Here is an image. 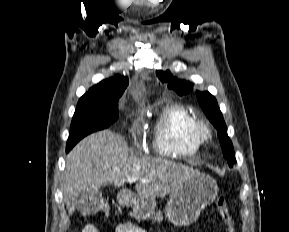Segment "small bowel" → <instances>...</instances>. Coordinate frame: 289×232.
Here are the masks:
<instances>
[{
  "mask_svg": "<svg viewBox=\"0 0 289 232\" xmlns=\"http://www.w3.org/2000/svg\"><path fill=\"white\" fill-rule=\"evenodd\" d=\"M82 232H99L98 228L92 224L86 225ZM115 232H147L140 225L133 222H123L117 225Z\"/></svg>",
  "mask_w": 289,
  "mask_h": 232,
  "instance_id": "small-bowel-1",
  "label": "small bowel"
}]
</instances>
